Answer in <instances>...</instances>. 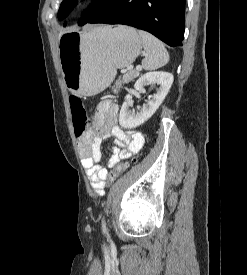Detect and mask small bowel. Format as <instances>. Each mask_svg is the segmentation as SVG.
I'll list each match as a JSON object with an SVG mask.
<instances>
[{
    "instance_id": "small-bowel-1",
    "label": "small bowel",
    "mask_w": 247,
    "mask_h": 275,
    "mask_svg": "<svg viewBox=\"0 0 247 275\" xmlns=\"http://www.w3.org/2000/svg\"><path fill=\"white\" fill-rule=\"evenodd\" d=\"M119 106L111 101L100 102L95 110L92 127L78 139V148L82 163L90 179L94 191L104 194L108 169L113 168L122 159L138 153L144 143L141 132L124 130L118 124ZM112 140V155L107 166L102 167L101 146L104 140Z\"/></svg>"
}]
</instances>
